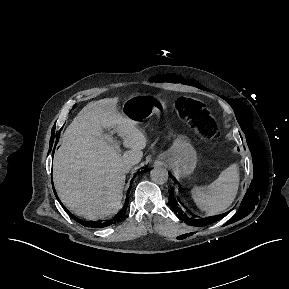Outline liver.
I'll list each match as a JSON object with an SVG mask.
<instances>
[{
  "label": "liver",
  "instance_id": "liver-1",
  "mask_svg": "<svg viewBox=\"0 0 289 289\" xmlns=\"http://www.w3.org/2000/svg\"><path fill=\"white\" fill-rule=\"evenodd\" d=\"M118 99L87 104L66 128L53 159V181L61 202L88 220L118 212L126 173L123 166L138 164L146 137L137 123L117 110ZM115 129L128 151L121 154L103 134Z\"/></svg>",
  "mask_w": 289,
  "mask_h": 289
}]
</instances>
